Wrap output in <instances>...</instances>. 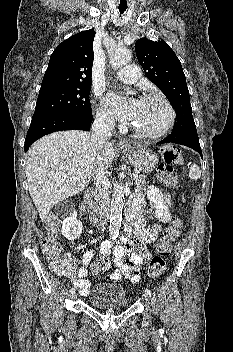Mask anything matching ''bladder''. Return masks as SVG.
Masks as SVG:
<instances>
[{"label":"bladder","instance_id":"obj_1","mask_svg":"<svg viewBox=\"0 0 233 352\" xmlns=\"http://www.w3.org/2000/svg\"><path fill=\"white\" fill-rule=\"evenodd\" d=\"M88 303L98 310H123L129 306V294L120 285L101 283L90 292Z\"/></svg>","mask_w":233,"mask_h":352}]
</instances>
